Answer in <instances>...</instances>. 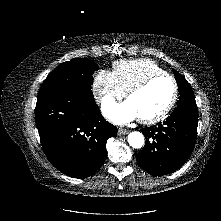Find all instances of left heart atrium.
Returning a JSON list of instances; mask_svg holds the SVG:
<instances>
[{
	"label": "left heart atrium",
	"mask_w": 221,
	"mask_h": 221,
	"mask_svg": "<svg viewBox=\"0 0 221 221\" xmlns=\"http://www.w3.org/2000/svg\"><path fill=\"white\" fill-rule=\"evenodd\" d=\"M103 112L107 118L116 124H126L136 118L138 115L129 101L121 104L108 102L103 106Z\"/></svg>",
	"instance_id": "1"
}]
</instances>
